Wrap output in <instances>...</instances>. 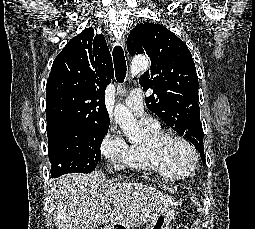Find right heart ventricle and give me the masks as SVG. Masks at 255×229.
Listing matches in <instances>:
<instances>
[{
  "label": "right heart ventricle",
  "mask_w": 255,
  "mask_h": 229,
  "mask_svg": "<svg viewBox=\"0 0 255 229\" xmlns=\"http://www.w3.org/2000/svg\"><path fill=\"white\" fill-rule=\"evenodd\" d=\"M151 136L141 144H132L128 146L124 162L129 167L138 170L150 171L159 174L165 178L176 179L189 176L193 170L189 168H173L155 152L151 145L153 138L160 136V128L148 127Z\"/></svg>",
  "instance_id": "1"
}]
</instances>
